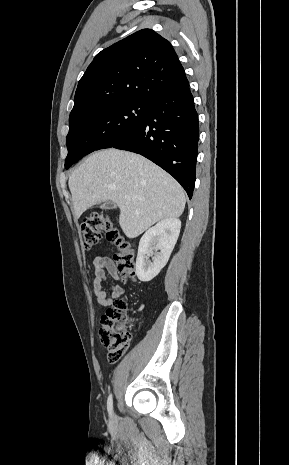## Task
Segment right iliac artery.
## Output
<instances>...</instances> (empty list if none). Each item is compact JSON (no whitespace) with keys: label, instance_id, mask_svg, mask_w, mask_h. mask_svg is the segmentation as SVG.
Wrapping results in <instances>:
<instances>
[{"label":"right iliac artery","instance_id":"right-iliac-artery-1","mask_svg":"<svg viewBox=\"0 0 289 465\" xmlns=\"http://www.w3.org/2000/svg\"><path fill=\"white\" fill-rule=\"evenodd\" d=\"M107 409L109 416H112V410H113V399H112V394L109 395L108 400H107Z\"/></svg>","mask_w":289,"mask_h":465}]
</instances>
